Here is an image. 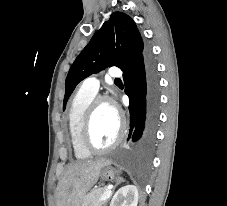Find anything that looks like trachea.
Returning <instances> with one entry per match:
<instances>
[{
    "label": "trachea",
    "mask_w": 227,
    "mask_h": 206,
    "mask_svg": "<svg viewBox=\"0 0 227 206\" xmlns=\"http://www.w3.org/2000/svg\"><path fill=\"white\" fill-rule=\"evenodd\" d=\"M115 81H120V79H119V78H117V79H115Z\"/></svg>",
    "instance_id": "trachea-1"
}]
</instances>
